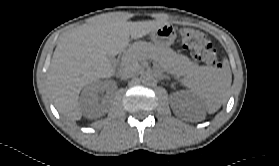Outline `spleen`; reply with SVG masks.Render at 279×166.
<instances>
[{
  "instance_id": "spleen-1",
  "label": "spleen",
  "mask_w": 279,
  "mask_h": 166,
  "mask_svg": "<svg viewBox=\"0 0 279 166\" xmlns=\"http://www.w3.org/2000/svg\"><path fill=\"white\" fill-rule=\"evenodd\" d=\"M231 82V71L226 63L218 70L208 66L197 67L181 80L209 113L216 112L227 101Z\"/></svg>"
}]
</instances>
